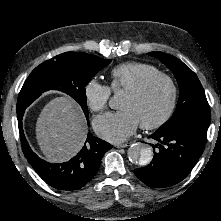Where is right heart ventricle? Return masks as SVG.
Wrapping results in <instances>:
<instances>
[{
    "mask_svg": "<svg viewBox=\"0 0 221 221\" xmlns=\"http://www.w3.org/2000/svg\"><path fill=\"white\" fill-rule=\"evenodd\" d=\"M154 65L130 61L115 66L110 72V89L128 90L149 75L158 73Z\"/></svg>",
    "mask_w": 221,
    "mask_h": 221,
    "instance_id": "1",
    "label": "right heart ventricle"
}]
</instances>
